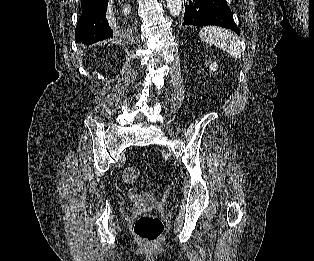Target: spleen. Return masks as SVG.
<instances>
[{
	"label": "spleen",
	"instance_id": "spleen-1",
	"mask_svg": "<svg viewBox=\"0 0 314 261\" xmlns=\"http://www.w3.org/2000/svg\"><path fill=\"white\" fill-rule=\"evenodd\" d=\"M199 36L205 43L226 51L233 58H241L240 41L233 32L221 27L206 26L200 29Z\"/></svg>",
	"mask_w": 314,
	"mask_h": 261
}]
</instances>
